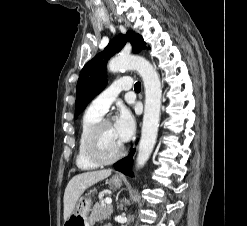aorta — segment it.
<instances>
[{"label": "aorta", "mask_w": 247, "mask_h": 226, "mask_svg": "<svg viewBox=\"0 0 247 226\" xmlns=\"http://www.w3.org/2000/svg\"><path fill=\"white\" fill-rule=\"evenodd\" d=\"M136 70L143 79L145 89V108L141 139L136 164L138 168L149 159L157 139L162 88L160 78L151 63L140 56H118L110 60L108 70L116 73L121 70Z\"/></svg>", "instance_id": "1"}]
</instances>
